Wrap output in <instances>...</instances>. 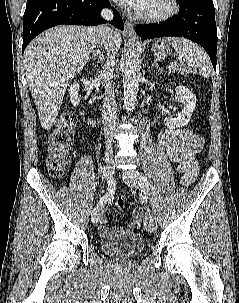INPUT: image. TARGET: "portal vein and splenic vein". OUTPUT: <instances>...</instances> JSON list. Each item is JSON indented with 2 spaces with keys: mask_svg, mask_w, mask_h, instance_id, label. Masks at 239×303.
Returning <instances> with one entry per match:
<instances>
[{
  "mask_svg": "<svg viewBox=\"0 0 239 303\" xmlns=\"http://www.w3.org/2000/svg\"><path fill=\"white\" fill-rule=\"evenodd\" d=\"M178 63H174L173 67H176Z\"/></svg>",
  "mask_w": 239,
  "mask_h": 303,
  "instance_id": "18ae733b",
  "label": "portal vein and splenic vein"
}]
</instances>
